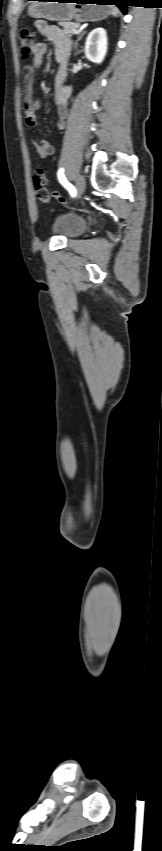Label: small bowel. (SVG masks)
<instances>
[{
    "instance_id": "1",
    "label": "small bowel",
    "mask_w": 162,
    "mask_h": 851,
    "mask_svg": "<svg viewBox=\"0 0 162 851\" xmlns=\"http://www.w3.org/2000/svg\"><path fill=\"white\" fill-rule=\"evenodd\" d=\"M38 31L54 45V55L58 63V68L54 78V103L57 109L56 126L63 130L66 127L68 118V106L71 96V88L64 85V80L67 74V64L71 51V41L69 37L57 26L50 25L44 20L36 22ZM47 52V45L43 42L37 43L33 53V60L30 65L25 68L23 100L24 118L29 128H35L37 125L36 113L41 108V103L34 98L33 80L37 70L43 63L44 55ZM31 144L42 159H46L53 155L54 146L46 139L30 138Z\"/></svg>"
}]
</instances>
